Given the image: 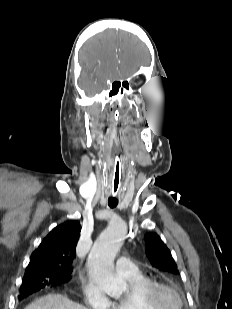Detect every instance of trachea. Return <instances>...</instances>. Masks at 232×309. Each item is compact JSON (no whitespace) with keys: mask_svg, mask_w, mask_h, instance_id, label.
<instances>
[{"mask_svg":"<svg viewBox=\"0 0 232 309\" xmlns=\"http://www.w3.org/2000/svg\"><path fill=\"white\" fill-rule=\"evenodd\" d=\"M123 177V162L119 151H116L114 157V167L112 173L111 183V197L108 198V205L114 208L118 204V193L121 189V182Z\"/></svg>","mask_w":232,"mask_h":309,"instance_id":"trachea-1","label":"trachea"}]
</instances>
